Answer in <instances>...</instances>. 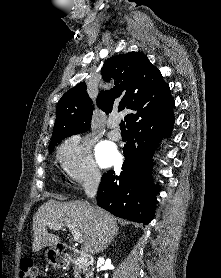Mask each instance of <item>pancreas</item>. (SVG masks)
<instances>
[{
  "instance_id": "obj_1",
  "label": "pancreas",
  "mask_w": 221,
  "mask_h": 278,
  "mask_svg": "<svg viewBox=\"0 0 221 278\" xmlns=\"http://www.w3.org/2000/svg\"><path fill=\"white\" fill-rule=\"evenodd\" d=\"M74 275H75V278H81L79 275V269L77 268V266L74 267Z\"/></svg>"
}]
</instances>
